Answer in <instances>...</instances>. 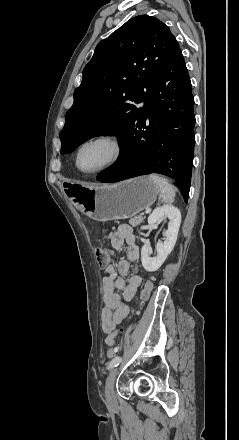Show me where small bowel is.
Masks as SVG:
<instances>
[{
  "label": "small bowel",
  "instance_id": "obj_1",
  "mask_svg": "<svg viewBox=\"0 0 239 440\" xmlns=\"http://www.w3.org/2000/svg\"><path fill=\"white\" fill-rule=\"evenodd\" d=\"M109 237L114 250L120 249L124 244L128 246L127 259L107 265L102 280L104 307L101 311V327L107 334L106 343L111 346L114 344L118 325L129 313L127 302L134 298L142 279L137 273H133L128 280L124 278L130 270L137 268L140 256L132 227L120 225ZM117 290H120L121 294Z\"/></svg>",
  "mask_w": 239,
  "mask_h": 440
}]
</instances>
